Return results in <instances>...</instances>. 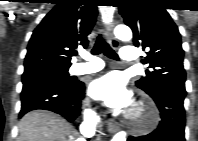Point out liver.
<instances>
[{
  "label": "liver",
  "mask_w": 198,
  "mask_h": 141,
  "mask_svg": "<svg viewBox=\"0 0 198 141\" xmlns=\"http://www.w3.org/2000/svg\"><path fill=\"white\" fill-rule=\"evenodd\" d=\"M17 141H76L77 132L62 117L45 110L27 113L19 122Z\"/></svg>",
  "instance_id": "obj_1"
}]
</instances>
